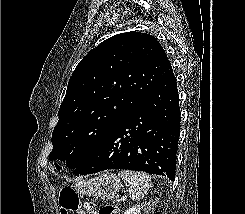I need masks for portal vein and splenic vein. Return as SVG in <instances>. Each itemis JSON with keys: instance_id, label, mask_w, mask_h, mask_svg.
I'll return each mask as SVG.
<instances>
[{"instance_id": "obj_1", "label": "portal vein and splenic vein", "mask_w": 245, "mask_h": 214, "mask_svg": "<svg viewBox=\"0 0 245 214\" xmlns=\"http://www.w3.org/2000/svg\"><path fill=\"white\" fill-rule=\"evenodd\" d=\"M126 198H127V195H125V196L121 197V198L119 199V201H120V202H123V201H125V200H126Z\"/></svg>"}]
</instances>
